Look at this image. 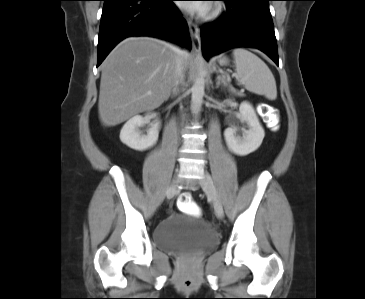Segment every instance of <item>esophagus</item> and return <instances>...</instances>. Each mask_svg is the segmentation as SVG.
I'll return each instance as SVG.
<instances>
[{
  "instance_id": "esophagus-1",
  "label": "esophagus",
  "mask_w": 365,
  "mask_h": 299,
  "mask_svg": "<svg viewBox=\"0 0 365 299\" xmlns=\"http://www.w3.org/2000/svg\"><path fill=\"white\" fill-rule=\"evenodd\" d=\"M187 24L189 26L190 34L193 41V46L195 48H199L200 47L199 28L190 18H187Z\"/></svg>"
}]
</instances>
